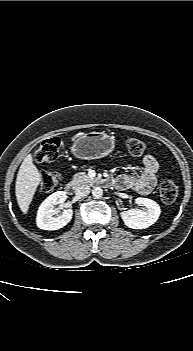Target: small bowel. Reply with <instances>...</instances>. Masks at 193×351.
Instances as JSON below:
<instances>
[{
	"instance_id": "1",
	"label": "small bowel",
	"mask_w": 193,
	"mask_h": 351,
	"mask_svg": "<svg viewBox=\"0 0 193 351\" xmlns=\"http://www.w3.org/2000/svg\"><path fill=\"white\" fill-rule=\"evenodd\" d=\"M142 162L143 167L139 173L136 175L122 174L116 180L117 185L143 195L150 193L157 183L159 164L151 154L144 156Z\"/></svg>"
}]
</instances>
